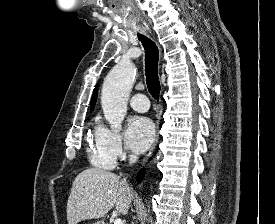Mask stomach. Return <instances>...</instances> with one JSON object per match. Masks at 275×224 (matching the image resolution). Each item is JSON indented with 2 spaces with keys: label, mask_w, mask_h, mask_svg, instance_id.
<instances>
[{
  "label": "stomach",
  "mask_w": 275,
  "mask_h": 224,
  "mask_svg": "<svg viewBox=\"0 0 275 224\" xmlns=\"http://www.w3.org/2000/svg\"><path fill=\"white\" fill-rule=\"evenodd\" d=\"M92 224H105L103 221H97L95 223H92Z\"/></svg>",
  "instance_id": "stomach-1"
}]
</instances>
